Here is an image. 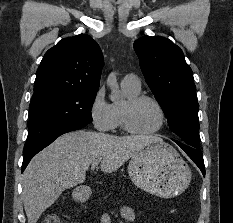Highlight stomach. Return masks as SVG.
<instances>
[{
  "mask_svg": "<svg viewBox=\"0 0 233 223\" xmlns=\"http://www.w3.org/2000/svg\"><path fill=\"white\" fill-rule=\"evenodd\" d=\"M127 169L137 187L158 197L179 195L188 187L192 175L186 161L164 141H152L131 155ZM84 195L80 189L75 191V197Z\"/></svg>",
  "mask_w": 233,
  "mask_h": 223,
  "instance_id": "obj_1",
  "label": "stomach"
}]
</instances>
